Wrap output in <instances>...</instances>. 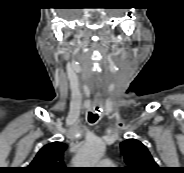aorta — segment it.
I'll list each match as a JSON object with an SVG mask.
<instances>
[{
  "instance_id": "1",
  "label": "aorta",
  "mask_w": 184,
  "mask_h": 173,
  "mask_svg": "<svg viewBox=\"0 0 184 173\" xmlns=\"http://www.w3.org/2000/svg\"><path fill=\"white\" fill-rule=\"evenodd\" d=\"M105 151V145L97 137L89 138L77 154L75 163L80 167H95Z\"/></svg>"
}]
</instances>
